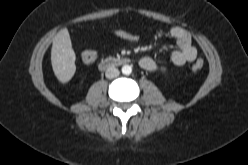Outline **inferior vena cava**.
I'll list each match as a JSON object with an SVG mask.
<instances>
[{
	"instance_id": "obj_1",
	"label": "inferior vena cava",
	"mask_w": 248,
	"mask_h": 165,
	"mask_svg": "<svg viewBox=\"0 0 248 165\" xmlns=\"http://www.w3.org/2000/svg\"><path fill=\"white\" fill-rule=\"evenodd\" d=\"M119 74H120L119 70L115 67H109L105 72V76L108 79L116 78L117 76H119Z\"/></svg>"
}]
</instances>
